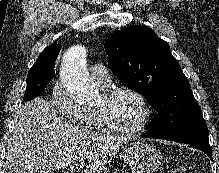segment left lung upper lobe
<instances>
[{
	"label": "left lung upper lobe",
	"mask_w": 219,
	"mask_h": 173,
	"mask_svg": "<svg viewBox=\"0 0 219 173\" xmlns=\"http://www.w3.org/2000/svg\"><path fill=\"white\" fill-rule=\"evenodd\" d=\"M108 66L119 80L143 94L158 112L147 134L174 136L208 132L190 84L169 45L151 29L132 26L113 33L105 42Z\"/></svg>",
	"instance_id": "left-lung-upper-lobe-1"
}]
</instances>
